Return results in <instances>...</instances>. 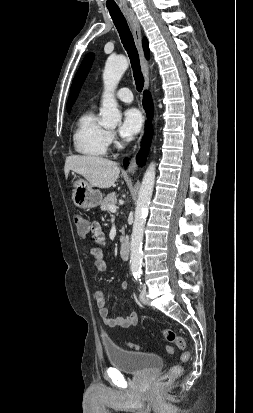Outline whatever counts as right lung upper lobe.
I'll use <instances>...</instances> for the list:
<instances>
[{
    "mask_svg": "<svg viewBox=\"0 0 253 413\" xmlns=\"http://www.w3.org/2000/svg\"><path fill=\"white\" fill-rule=\"evenodd\" d=\"M143 48H144V52L146 55V58H149V47H148V41L146 38L143 39Z\"/></svg>",
    "mask_w": 253,
    "mask_h": 413,
    "instance_id": "cb5924a9",
    "label": "right lung upper lobe"
}]
</instances>
